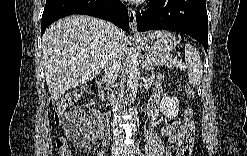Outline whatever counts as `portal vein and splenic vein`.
Returning a JSON list of instances; mask_svg holds the SVG:
<instances>
[{
    "label": "portal vein and splenic vein",
    "instance_id": "18ae733b",
    "mask_svg": "<svg viewBox=\"0 0 247 156\" xmlns=\"http://www.w3.org/2000/svg\"><path fill=\"white\" fill-rule=\"evenodd\" d=\"M180 67L181 69H183V70H185V66H182L181 65V62H179V61H174L173 60V63L170 65V67Z\"/></svg>",
    "mask_w": 247,
    "mask_h": 156
}]
</instances>
